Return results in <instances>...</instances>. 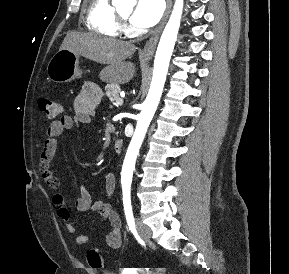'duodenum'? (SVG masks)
<instances>
[{"mask_svg":"<svg viewBox=\"0 0 289 274\" xmlns=\"http://www.w3.org/2000/svg\"><path fill=\"white\" fill-rule=\"evenodd\" d=\"M113 147L116 152H121L123 148V141L121 139H116L113 143Z\"/></svg>","mask_w":289,"mask_h":274,"instance_id":"1","label":"duodenum"}]
</instances>
